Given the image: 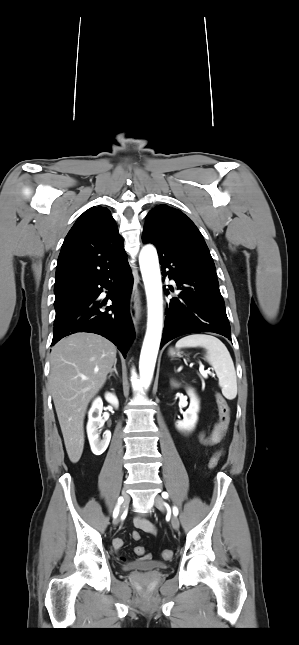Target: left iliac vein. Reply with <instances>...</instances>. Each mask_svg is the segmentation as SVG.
Segmentation results:
<instances>
[{
    "label": "left iliac vein",
    "mask_w": 299,
    "mask_h": 645,
    "mask_svg": "<svg viewBox=\"0 0 299 645\" xmlns=\"http://www.w3.org/2000/svg\"><path fill=\"white\" fill-rule=\"evenodd\" d=\"M154 505L160 511H165L164 500L160 495L155 496ZM171 525L175 530L179 529L180 523L176 515L171 516Z\"/></svg>",
    "instance_id": "4c4485c4"
}]
</instances>
